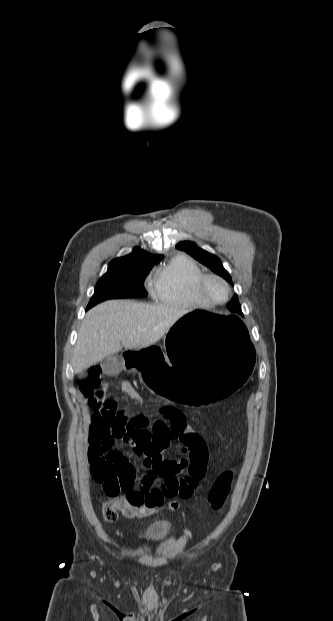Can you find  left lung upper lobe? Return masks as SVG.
<instances>
[{
  "label": "left lung upper lobe",
  "mask_w": 333,
  "mask_h": 621,
  "mask_svg": "<svg viewBox=\"0 0 333 621\" xmlns=\"http://www.w3.org/2000/svg\"><path fill=\"white\" fill-rule=\"evenodd\" d=\"M176 248L187 252L197 261L210 268L214 273L222 276L229 283H232L231 277L229 276L228 272L223 268L222 263L217 256L197 247L194 242L190 241H181L176 245ZM227 307L231 312L243 315L237 295H235L231 299Z\"/></svg>",
  "instance_id": "obj_1"
}]
</instances>
